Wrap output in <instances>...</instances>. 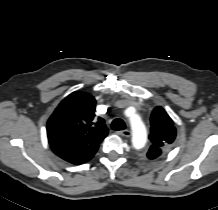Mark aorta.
<instances>
[{
  "label": "aorta",
  "instance_id": "762f6f07",
  "mask_svg": "<svg viewBox=\"0 0 218 210\" xmlns=\"http://www.w3.org/2000/svg\"><path fill=\"white\" fill-rule=\"evenodd\" d=\"M132 144L134 148H142L147 140V130L141 119L134 114L130 117Z\"/></svg>",
  "mask_w": 218,
  "mask_h": 210
}]
</instances>
